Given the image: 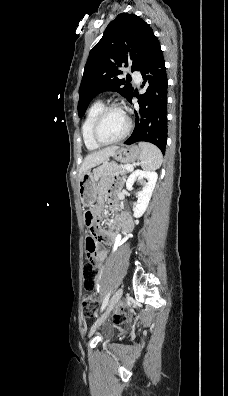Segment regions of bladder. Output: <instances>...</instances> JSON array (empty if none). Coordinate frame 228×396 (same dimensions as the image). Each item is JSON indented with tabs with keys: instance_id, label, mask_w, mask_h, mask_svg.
<instances>
[{
	"instance_id": "1",
	"label": "bladder",
	"mask_w": 228,
	"mask_h": 396,
	"mask_svg": "<svg viewBox=\"0 0 228 396\" xmlns=\"http://www.w3.org/2000/svg\"><path fill=\"white\" fill-rule=\"evenodd\" d=\"M109 332H110L109 330H106V331H105V335H108V334H109Z\"/></svg>"
}]
</instances>
